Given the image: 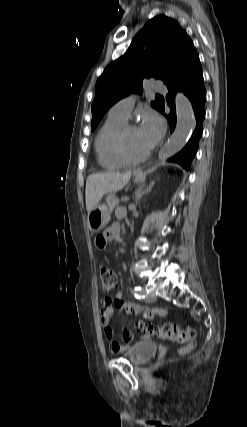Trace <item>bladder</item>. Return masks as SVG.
I'll list each match as a JSON object with an SVG mask.
<instances>
[{
    "instance_id": "bladder-1",
    "label": "bladder",
    "mask_w": 247,
    "mask_h": 427,
    "mask_svg": "<svg viewBox=\"0 0 247 427\" xmlns=\"http://www.w3.org/2000/svg\"><path fill=\"white\" fill-rule=\"evenodd\" d=\"M156 352V344L152 342H139L128 348L123 353V356L134 365H142L153 358Z\"/></svg>"
}]
</instances>
